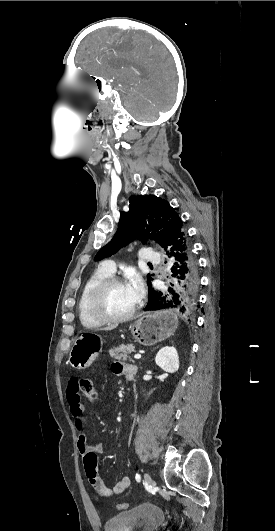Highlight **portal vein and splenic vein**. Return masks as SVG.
Segmentation results:
<instances>
[{"mask_svg":"<svg viewBox=\"0 0 275 531\" xmlns=\"http://www.w3.org/2000/svg\"><path fill=\"white\" fill-rule=\"evenodd\" d=\"M134 359H141V355H134Z\"/></svg>","mask_w":275,"mask_h":531,"instance_id":"18ae733b","label":"portal vein and splenic vein"}]
</instances>
